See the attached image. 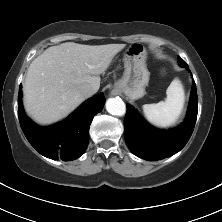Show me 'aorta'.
Wrapping results in <instances>:
<instances>
[{"instance_id": "obj_1", "label": "aorta", "mask_w": 222, "mask_h": 222, "mask_svg": "<svg viewBox=\"0 0 222 222\" xmlns=\"http://www.w3.org/2000/svg\"><path fill=\"white\" fill-rule=\"evenodd\" d=\"M106 110L115 116H123L126 112V105L121 98H109L106 102Z\"/></svg>"}]
</instances>
